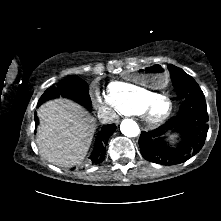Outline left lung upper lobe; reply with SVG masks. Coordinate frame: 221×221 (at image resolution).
<instances>
[{
    "instance_id": "left-lung-upper-lobe-1",
    "label": "left lung upper lobe",
    "mask_w": 221,
    "mask_h": 221,
    "mask_svg": "<svg viewBox=\"0 0 221 221\" xmlns=\"http://www.w3.org/2000/svg\"><path fill=\"white\" fill-rule=\"evenodd\" d=\"M168 69L171 72V79L176 88L177 94L182 100L203 95V92L196 81L182 69L173 65H170ZM163 165H166V163Z\"/></svg>"
}]
</instances>
